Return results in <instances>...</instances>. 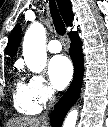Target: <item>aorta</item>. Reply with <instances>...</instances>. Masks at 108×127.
Segmentation results:
<instances>
[{
  "instance_id": "762f6f07",
  "label": "aorta",
  "mask_w": 108,
  "mask_h": 127,
  "mask_svg": "<svg viewBox=\"0 0 108 127\" xmlns=\"http://www.w3.org/2000/svg\"><path fill=\"white\" fill-rule=\"evenodd\" d=\"M23 57L27 68L34 73L44 70L47 62L46 30L41 23L34 22L27 29L23 40ZM78 110L72 109L66 116L63 127H75Z\"/></svg>"
}]
</instances>
